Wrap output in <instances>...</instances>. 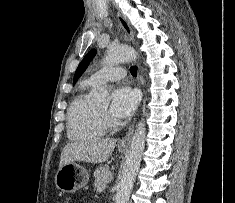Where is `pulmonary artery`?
Here are the masks:
<instances>
[{"label": "pulmonary artery", "instance_id": "e3ab8cb5", "mask_svg": "<svg viewBox=\"0 0 235 203\" xmlns=\"http://www.w3.org/2000/svg\"><path fill=\"white\" fill-rule=\"evenodd\" d=\"M125 75L126 70L123 67L112 65L98 70L87 81L94 86H98L108 81L120 80Z\"/></svg>", "mask_w": 235, "mask_h": 203}]
</instances>
